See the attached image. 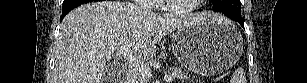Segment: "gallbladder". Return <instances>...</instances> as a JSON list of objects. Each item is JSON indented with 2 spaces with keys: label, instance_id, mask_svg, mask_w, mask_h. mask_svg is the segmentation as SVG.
<instances>
[{
  "label": "gallbladder",
  "instance_id": "1",
  "mask_svg": "<svg viewBox=\"0 0 307 83\" xmlns=\"http://www.w3.org/2000/svg\"><path fill=\"white\" fill-rule=\"evenodd\" d=\"M106 75L108 76V78L111 77V76H112L111 71L108 70V71L105 73V76H106ZM108 78H106V81H105V82H107V83L114 82V81H108Z\"/></svg>",
  "mask_w": 307,
  "mask_h": 83
}]
</instances>
